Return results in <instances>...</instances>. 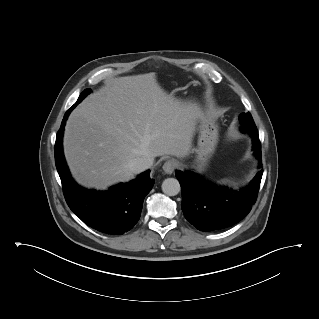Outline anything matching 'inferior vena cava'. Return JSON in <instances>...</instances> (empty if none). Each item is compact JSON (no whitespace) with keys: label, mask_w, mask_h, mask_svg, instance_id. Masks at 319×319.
Listing matches in <instances>:
<instances>
[{"label":"inferior vena cava","mask_w":319,"mask_h":319,"mask_svg":"<svg viewBox=\"0 0 319 319\" xmlns=\"http://www.w3.org/2000/svg\"><path fill=\"white\" fill-rule=\"evenodd\" d=\"M153 164V158H136L129 163V168L133 173H140L148 168H150Z\"/></svg>","instance_id":"1"}]
</instances>
